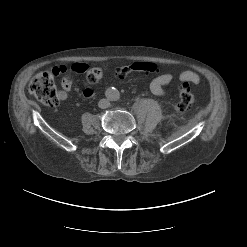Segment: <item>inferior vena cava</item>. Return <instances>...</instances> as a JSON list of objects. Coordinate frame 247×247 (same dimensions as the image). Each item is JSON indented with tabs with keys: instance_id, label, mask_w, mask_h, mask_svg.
Masks as SVG:
<instances>
[{
	"instance_id": "602c4592",
	"label": "inferior vena cava",
	"mask_w": 247,
	"mask_h": 247,
	"mask_svg": "<svg viewBox=\"0 0 247 247\" xmlns=\"http://www.w3.org/2000/svg\"><path fill=\"white\" fill-rule=\"evenodd\" d=\"M98 106L99 108L101 109H105V108H108L110 106V102L108 99H101L99 102H98Z\"/></svg>"
}]
</instances>
